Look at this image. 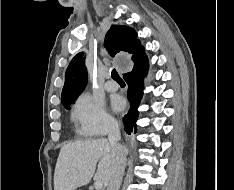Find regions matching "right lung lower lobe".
Returning a JSON list of instances; mask_svg holds the SVG:
<instances>
[{
	"label": "right lung lower lobe",
	"mask_w": 234,
	"mask_h": 190,
	"mask_svg": "<svg viewBox=\"0 0 234 190\" xmlns=\"http://www.w3.org/2000/svg\"><path fill=\"white\" fill-rule=\"evenodd\" d=\"M133 62V70L123 75L128 84V99L130 102V109L123 119L125 131L128 134H135L137 131L136 121L139 116L137 108L143 96L144 77L149 67L145 50Z\"/></svg>",
	"instance_id": "obj_1"
}]
</instances>
